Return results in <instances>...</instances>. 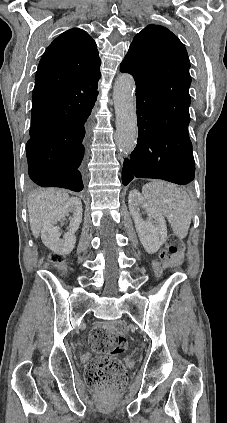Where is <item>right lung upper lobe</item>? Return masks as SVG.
<instances>
[{
    "label": "right lung upper lobe",
    "instance_id": "1",
    "mask_svg": "<svg viewBox=\"0 0 227 423\" xmlns=\"http://www.w3.org/2000/svg\"><path fill=\"white\" fill-rule=\"evenodd\" d=\"M100 58L94 40L79 28L58 36L44 52L35 77L32 102L67 101L97 97ZM56 121L31 124L30 137H42L57 127Z\"/></svg>",
    "mask_w": 227,
    "mask_h": 423
}]
</instances>
